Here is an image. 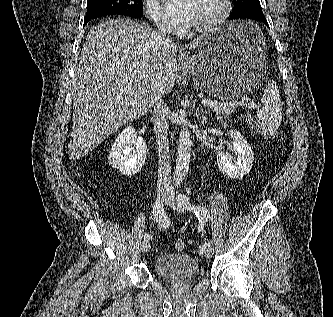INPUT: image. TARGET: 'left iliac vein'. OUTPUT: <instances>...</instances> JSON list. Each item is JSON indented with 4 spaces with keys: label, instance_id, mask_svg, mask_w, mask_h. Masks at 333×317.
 <instances>
[{
    "label": "left iliac vein",
    "instance_id": "obj_1",
    "mask_svg": "<svg viewBox=\"0 0 333 317\" xmlns=\"http://www.w3.org/2000/svg\"><path fill=\"white\" fill-rule=\"evenodd\" d=\"M165 202L174 210H176L177 212H182L184 210V208H182V206H180L179 204L176 203L174 194L172 192H169L167 194V197L165 199ZM213 252H214V248L213 245L211 243L210 240L207 241L206 245H205V256L207 258H211L213 256Z\"/></svg>",
    "mask_w": 333,
    "mask_h": 317
}]
</instances>
